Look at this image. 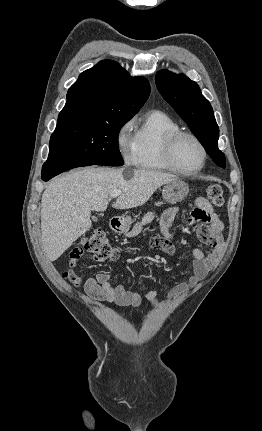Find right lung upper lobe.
Segmentation results:
<instances>
[{
    "instance_id": "cb5924a9",
    "label": "right lung upper lobe",
    "mask_w": 262,
    "mask_h": 431,
    "mask_svg": "<svg viewBox=\"0 0 262 431\" xmlns=\"http://www.w3.org/2000/svg\"><path fill=\"white\" fill-rule=\"evenodd\" d=\"M149 94L150 85L145 78L130 77L115 61H100L81 73L69 88L57 125L79 120L131 119Z\"/></svg>"
}]
</instances>
